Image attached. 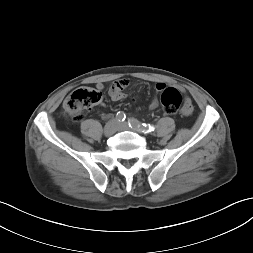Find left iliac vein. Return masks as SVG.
Instances as JSON below:
<instances>
[{
    "label": "left iliac vein",
    "instance_id": "left-iliac-vein-1",
    "mask_svg": "<svg viewBox=\"0 0 253 253\" xmlns=\"http://www.w3.org/2000/svg\"><path fill=\"white\" fill-rule=\"evenodd\" d=\"M119 130H133L135 132L142 133V131L138 128H130L127 123L119 124Z\"/></svg>",
    "mask_w": 253,
    "mask_h": 253
}]
</instances>
